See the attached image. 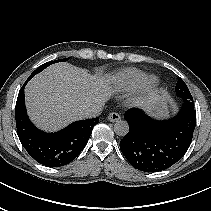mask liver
<instances>
[{
	"label": "liver",
	"mask_w": 211,
	"mask_h": 211,
	"mask_svg": "<svg viewBox=\"0 0 211 211\" xmlns=\"http://www.w3.org/2000/svg\"><path fill=\"white\" fill-rule=\"evenodd\" d=\"M112 94L109 80L93 76L69 63H57L36 75L25 88L26 106L31 120L41 129L56 131L85 118L83 112L103 104ZM155 96L142 101L153 106Z\"/></svg>",
	"instance_id": "liver-1"
}]
</instances>
